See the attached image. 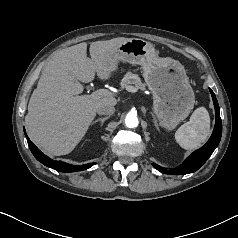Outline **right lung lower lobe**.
Returning <instances> with one entry per match:
<instances>
[{
  "instance_id": "98d812e1",
  "label": "right lung lower lobe",
  "mask_w": 238,
  "mask_h": 238,
  "mask_svg": "<svg viewBox=\"0 0 238 238\" xmlns=\"http://www.w3.org/2000/svg\"><path fill=\"white\" fill-rule=\"evenodd\" d=\"M25 132V129H24ZM25 136L27 138V142L29 145V148L31 150V152L33 153V155L35 156V158L41 162L42 164H44L47 167H50L52 169H55L56 171H60V172H75V171H81V170H85L90 168L91 166H93L94 163H89L86 165H82V166H75V165H70L68 163L62 162V161H54L52 159H50L49 157H47L46 155H44L28 138L26 132H25Z\"/></svg>"
}]
</instances>
